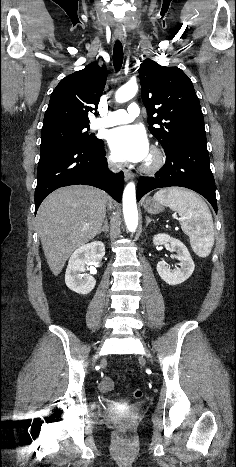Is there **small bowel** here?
<instances>
[{"label":"small bowel","instance_id":"obj_1","mask_svg":"<svg viewBox=\"0 0 236 467\" xmlns=\"http://www.w3.org/2000/svg\"><path fill=\"white\" fill-rule=\"evenodd\" d=\"M113 387L112 380L109 377H105L101 381V389L103 391H109Z\"/></svg>","mask_w":236,"mask_h":467}]
</instances>
